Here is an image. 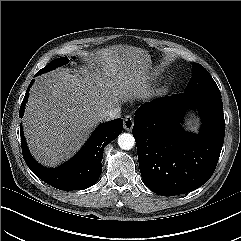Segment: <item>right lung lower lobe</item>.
Instances as JSON below:
<instances>
[{"label": "right lung lower lobe", "mask_w": 241, "mask_h": 241, "mask_svg": "<svg viewBox=\"0 0 241 241\" xmlns=\"http://www.w3.org/2000/svg\"><path fill=\"white\" fill-rule=\"evenodd\" d=\"M40 73L37 72L36 75ZM33 82V81H32ZM29 85L22 101L19 117L22 118L29 96ZM123 129V120L118 118L101 124L91 135L85 146L67 163L59 168H45L31 156L21 128V146L24 160L30 170L41 180L60 190H83L99 179L102 171L103 149L115 140Z\"/></svg>", "instance_id": "98d812e1"}]
</instances>
